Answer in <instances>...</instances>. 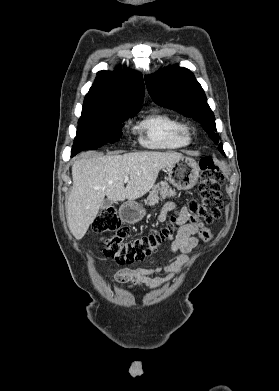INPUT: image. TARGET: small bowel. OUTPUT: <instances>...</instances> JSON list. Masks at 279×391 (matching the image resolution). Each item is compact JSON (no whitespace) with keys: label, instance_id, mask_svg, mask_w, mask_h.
Instances as JSON below:
<instances>
[{"label":"small bowel","instance_id":"small-bowel-1","mask_svg":"<svg viewBox=\"0 0 279 391\" xmlns=\"http://www.w3.org/2000/svg\"><path fill=\"white\" fill-rule=\"evenodd\" d=\"M175 209L176 205L173 202L167 203L161 211L159 220L161 222L165 221L167 214ZM176 226L178 227V231L172 238L170 250L178 254L171 263L155 268H123L116 273V279L121 282H129L130 288L146 286L148 289H155L171 279L188 262V254L198 247L199 241L196 234H198L202 227L195 222H189L187 208L181 210L180 216L176 221ZM162 271L168 273L169 276L166 278L152 277L153 274Z\"/></svg>","mask_w":279,"mask_h":391}]
</instances>
